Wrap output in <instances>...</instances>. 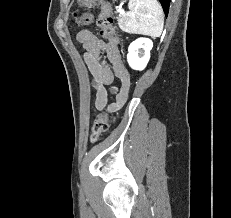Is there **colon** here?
Here are the masks:
<instances>
[{
    "instance_id": "1",
    "label": "colon",
    "mask_w": 231,
    "mask_h": 218,
    "mask_svg": "<svg viewBox=\"0 0 231 218\" xmlns=\"http://www.w3.org/2000/svg\"><path fill=\"white\" fill-rule=\"evenodd\" d=\"M79 4L85 9H92L100 2L101 10L97 19V24L100 27V33L103 37L112 38L114 36L112 9L109 3L102 0H78ZM74 19L78 26H87L92 22V15L88 12L74 13ZM108 114L103 112L94 121L91 141L97 142L102 134L108 130Z\"/></svg>"
}]
</instances>
